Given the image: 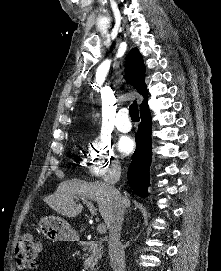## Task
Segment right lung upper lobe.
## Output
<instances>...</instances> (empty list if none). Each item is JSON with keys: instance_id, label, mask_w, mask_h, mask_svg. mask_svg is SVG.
I'll list each match as a JSON object with an SVG mask.
<instances>
[{"instance_id": "right-lung-upper-lobe-1", "label": "right lung upper lobe", "mask_w": 221, "mask_h": 271, "mask_svg": "<svg viewBox=\"0 0 221 271\" xmlns=\"http://www.w3.org/2000/svg\"><path fill=\"white\" fill-rule=\"evenodd\" d=\"M125 73L127 82L131 83L132 86L144 97V100L140 105V111L147 109L148 93L144 81L145 66L143 57L136 48L132 49L129 53L127 64L125 66Z\"/></svg>"}]
</instances>
